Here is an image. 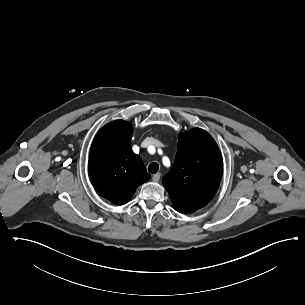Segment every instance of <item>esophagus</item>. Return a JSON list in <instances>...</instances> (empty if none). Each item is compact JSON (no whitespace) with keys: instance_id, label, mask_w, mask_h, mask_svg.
I'll use <instances>...</instances> for the list:
<instances>
[{"instance_id":"esophagus-1","label":"esophagus","mask_w":305,"mask_h":305,"mask_svg":"<svg viewBox=\"0 0 305 305\" xmlns=\"http://www.w3.org/2000/svg\"><path fill=\"white\" fill-rule=\"evenodd\" d=\"M160 176H161L160 173H156V174H154V175L152 176V180H153L154 182H158V181L160 180Z\"/></svg>"}]
</instances>
